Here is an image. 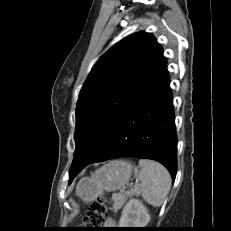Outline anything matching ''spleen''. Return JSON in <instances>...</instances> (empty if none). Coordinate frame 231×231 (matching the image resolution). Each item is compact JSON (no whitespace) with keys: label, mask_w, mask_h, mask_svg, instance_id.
Returning <instances> with one entry per match:
<instances>
[{"label":"spleen","mask_w":231,"mask_h":231,"mask_svg":"<svg viewBox=\"0 0 231 231\" xmlns=\"http://www.w3.org/2000/svg\"><path fill=\"white\" fill-rule=\"evenodd\" d=\"M139 166L140 171H136V177L141 181L139 193L148 204L161 206L171 187L168 170L160 163L147 159H140Z\"/></svg>","instance_id":"1"}]
</instances>
